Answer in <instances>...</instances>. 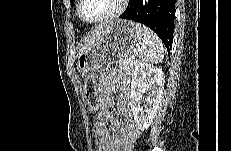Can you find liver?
Instances as JSON below:
<instances>
[{
	"label": "liver",
	"instance_id": "1",
	"mask_svg": "<svg viewBox=\"0 0 231 151\" xmlns=\"http://www.w3.org/2000/svg\"><path fill=\"white\" fill-rule=\"evenodd\" d=\"M110 23H103L99 25L97 28L91 31L88 36H86L83 40V43L80 44L79 47V55L84 53L86 50H88L90 47L96 44V42L101 38L102 34L105 32L107 27L111 24Z\"/></svg>",
	"mask_w": 231,
	"mask_h": 151
}]
</instances>
